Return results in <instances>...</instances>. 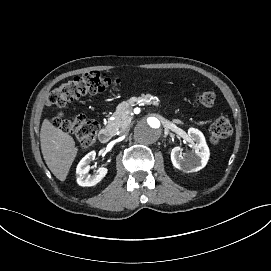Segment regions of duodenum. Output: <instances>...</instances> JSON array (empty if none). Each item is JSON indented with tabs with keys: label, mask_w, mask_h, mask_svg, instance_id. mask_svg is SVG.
<instances>
[{
	"label": "duodenum",
	"mask_w": 271,
	"mask_h": 271,
	"mask_svg": "<svg viewBox=\"0 0 271 271\" xmlns=\"http://www.w3.org/2000/svg\"><path fill=\"white\" fill-rule=\"evenodd\" d=\"M113 136L112 129L109 126H104L100 131H99V140L101 143H107L111 140Z\"/></svg>",
	"instance_id": "410a0bca"
}]
</instances>
